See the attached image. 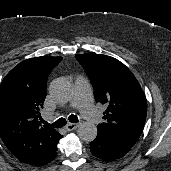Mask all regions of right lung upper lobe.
I'll return each instance as SVG.
<instances>
[{"instance_id": "obj_1", "label": "right lung upper lobe", "mask_w": 171, "mask_h": 171, "mask_svg": "<svg viewBox=\"0 0 171 171\" xmlns=\"http://www.w3.org/2000/svg\"><path fill=\"white\" fill-rule=\"evenodd\" d=\"M62 57H36L22 61L0 85V136L18 160L36 164L45 158L60 134L41 127L40 110L46 82Z\"/></svg>"}]
</instances>
